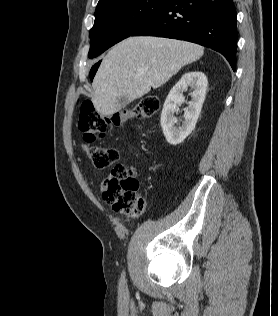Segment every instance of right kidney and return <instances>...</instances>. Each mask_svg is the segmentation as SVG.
<instances>
[{
  "instance_id": "1",
  "label": "right kidney",
  "mask_w": 278,
  "mask_h": 316,
  "mask_svg": "<svg viewBox=\"0 0 278 316\" xmlns=\"http://www.w3.org/2000/svg\"><path fill=\"white\" fill-rule=\"evenodd\" d=\"M207 85V77L203 72L192 71L185 73L171 89L161 113V127L169 144H180L194 130L205 100ZM188 87L193 90L190 93L192 100L185 109V121L179 128H176L174 124L177 123V119L174 113L179 110L177 104L185 101L183 92Z\"/></svg>"
}]
</instances>
